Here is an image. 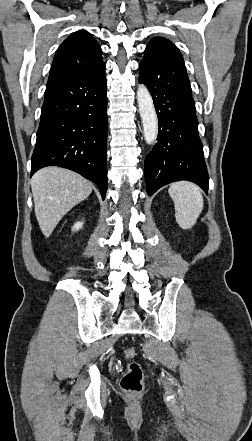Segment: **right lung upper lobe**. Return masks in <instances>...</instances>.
I'll list each match as a JSON object with an SVG mask.
<instances>
[{"mask_svg":"<svg viewBox=\"0 0 252 441\" xmlns=\"http://www.w3.org/2000/svg\"><path fill=\"white\" fill-rule=\"evenodd\" d=\"M101 54L100 46L89 32L73 33L54 56L47 86L105 67Z\"/></svg>","mask_w":252,"mask_h":441,"instance_id":"right-lung-upper-lobe-1","label":"right lung upper lobe"}]
</instances>
